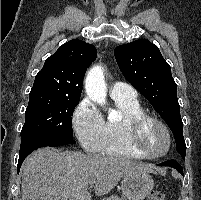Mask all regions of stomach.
<instances>
[{"instance_id":"obj_1","label":"stomach","mask_w":201,"mask_h":200,"mask_svg":"<svg viewBox=\"0 0 201 200\" xmlns=\"http://www.w3.org/2000/svg\"><path fill=\"white\" fill-rule=\"evenodd\" d=\"M154 187L152 177L146 172H134L123 177L122 192L129 200H144Z\"/></svg>"}]
</instances>
